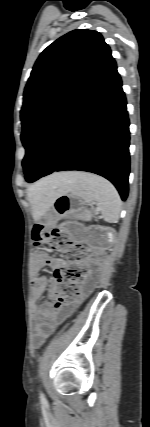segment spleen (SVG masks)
Instances as JSON below:
<instances>
[{"instance_id": "1", "label": "spleen", "mask_w": 150, "mask_h": 427, "mask_svg": "<svg viewBox=\"0 0 150 427\" xmlns=\"http://www.w3.org/2000/svg\"><path fill=\"white\" fill-rule=\"evenodd\" d=\"M67 191L85 203L96 204L105 222L116 223L119 220L122 202L108 180L95 174L74 172L68 179Z\"/></svg>"}]
</instances>
